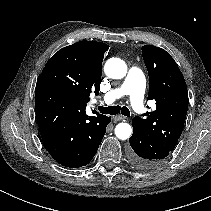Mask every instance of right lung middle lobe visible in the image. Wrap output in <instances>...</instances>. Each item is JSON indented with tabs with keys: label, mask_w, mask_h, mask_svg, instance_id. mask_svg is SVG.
<instances>
[{
	"label": "right lung middle lobe",
	"mask_w": 211,
	"mask_h": 211,
	"mask_svg": "<svg viewBox=\"0 0 211 211\" xmlns=\"http://www.w3.org/2000/svg\"><path fill=\"white\" fill-rule=\"evenodd\" d=\"M37 82H44L49 85L61 88L73 94L79 100L85 102L86 96L77 81L69 75L67 67L60 59H50Z\"/></svg>",
	"instance_id": "dd1d6c3e"
}]
</instances>
